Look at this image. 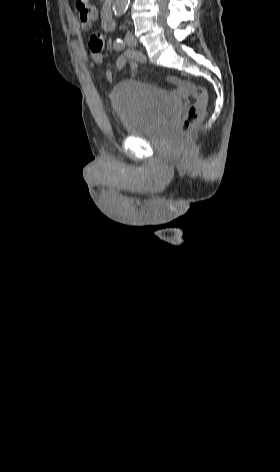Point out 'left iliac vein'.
Listing matches in <instances>:
<instances>
[{
  "instance_id": "4c4485c4",
  "label": "left iliac vein",
  "mask_w": 280,
  "mask_h": 472,
  "mask_svg": "<svg viewBox=\"0 0 280 472\" xmlns=\"http://www.w3.org/2000/svg\"><path fill=\"white\" fill-rule=\"evenodd\" d=\"M125 43L129 46V47H136L137 45V41H136V38L131 34V33H127L126 36H125Z\"/></svg>"
}]
</instances>
